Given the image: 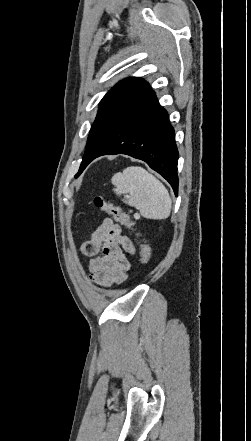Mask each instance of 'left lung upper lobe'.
I'll return each mask as SVG.
<instances>
[{
    "instance_id": "left-lung-upper-lobe-1",
    "label": "left lung upper lobe",
    "mask_w": 251,
    "mask_h": 441,
    "mask_svg": "<svg viewBox=\"0 0 251 441\" xmlns=\"http://www.w3.org/2000/svg\"><path fill=\"white\" fill-rule=\"evenodd\" d=\"M151 91L149 84L141 78L130 77L116 84L101 100L95 122L103 116L125 115L133 105ZM82 172V163L77 173Z\"/></svg>"
}]
</instances>
